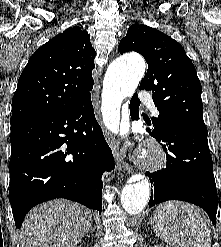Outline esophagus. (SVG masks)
I'll list each match as a JSON object with an SVG mask.
<instances>
[{
  "instance_id": "34e87169",
  "label": "esophagus",
  "mask_w": 221,
  "mask_h": 247,
  "mask_svg": "<svg viewBox=\"0 0 221 247\" xmlns=\"http://www.w3.org/2000/svg\"><path fill=\"white\" fill-rule=\"evenodd\" d=\"M105 137L115 157L117 169L126 170L128 173H132V167L124 161L123 153L125 150L120 148L119 143L115 141L114 137L109 132L105 131Z\"/></svg>"
}]
</instances>
